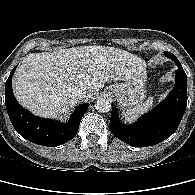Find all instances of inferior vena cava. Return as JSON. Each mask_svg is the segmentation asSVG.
Listing matches in <instances>:
<instances>
[{
  "label": "inferior vena cava",
  "instance_id": "602c4592",
  "mask_svg": "<svg viewBox=\"0 0 195 195\" xmlns=\"http://www.w3.org/2000/svg\"><path fill=\"white\" fill-rule=\"evenodd\" d=\"M73 94L77 97V98H85L89 95V90L84 87H78L73 91Z\"/></svg>",
  "mask_w": 195,
  "mask_h": 195
}]
</instances>
